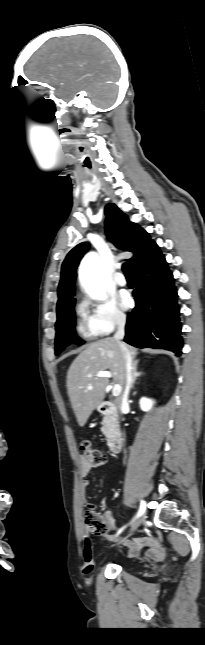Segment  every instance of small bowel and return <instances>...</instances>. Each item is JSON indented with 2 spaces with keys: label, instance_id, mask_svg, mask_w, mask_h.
Returning a JSON list of instances; mask_svg holds the SVG:
<instances>
[{
  "label": "small bowel",
  "instance_id": "c3829d8e",
  "mask_svg": "<svg viewBox=\"0 0 205 645\" xmlns=\"http://www.w3.org/2000/svg\"><path fill=\"white\" fill-rule=\"evenodd\" d=\"M92 469V466L89 465L87 460L82 457L80 459V468H79V474L82 478L81 485L83 488H86L89 486L90 481L88 480V475ZM87 505V502H84V506ZM104 519L108 525V528L110 530L115 529V522L114 518L112 516V513L110 511H106L104 513ZM126 546L128 549V557L129 558H135L139 555L140 550L143 548H148L146 554H145V559L147 560H160L163 555H164V545L162 542L155 538V537H136L132 538L130 540L126 541ZM83 558H84V563L88 567H93L94 565V558H93V553H92V548L90 541L88 539V531H85V542H84V550H83Z\"/></svg>",
  "mask_w": 205,
  "mask_h": 645
}]
</instances>
